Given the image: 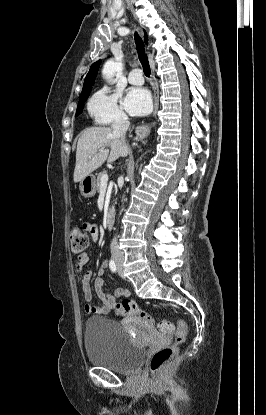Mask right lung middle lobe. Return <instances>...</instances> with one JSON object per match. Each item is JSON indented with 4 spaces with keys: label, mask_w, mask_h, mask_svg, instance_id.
Instances as JSON below:
<instances>
[{
    "label": "right lung middle lobe",
    "mask_w": 266,
    "mask_h": 415,
    "mask_svg": "<svg viewBox=\"0 0 266 415\" xmlns=\"http://www.w3.org/2000/svg\"><path fill=\"white\" fill-rule=\"evenodd\" d=\"M88 96H89V94L80 97L79 103H78V107H77V111H76V116H78L82 112L84 102L86 101V99L88 98Z\"/></svg>",
    "instance_id": "obj_1"
}]
</instances>
